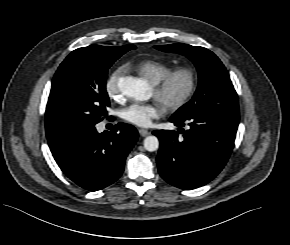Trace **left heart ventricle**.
<instances>
[{
	"label": "left heart ventricle",
	"mask_w": 290,
	"mask_h": 245,
	"mask_svg": "<svg viewBox=\"0 0 290 245\" xmlns=\"http://www.w3.org/2000/svg\"><path fill=\"white\" fill-rule=\"evenodd\" d=\"M186 79L184 77H178L173 83L169 90L168 95L170 97L179 96L185 89Z\"/></svg>",
	"instance_id": "left-heart-ventricle-1"
}]
</instances>
